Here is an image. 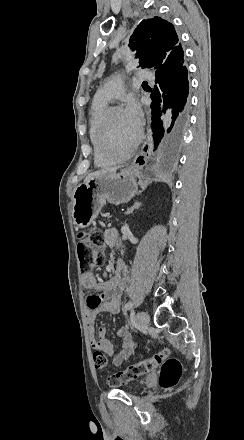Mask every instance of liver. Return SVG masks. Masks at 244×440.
<instances>
[{
	"mask_svg": "<svg viewBox=\"0 0 244 440\" xmlns=\"http://www.w3.org/2000/svg\"><path fill=\"white\" fill-rule=\"evenodd\" d=\"M119 168H103V170H98V172H92V174H88L84 180V184H87L90 178H100V176H104V174H115Z\"/></svg>",
	"mask_w": 244,
	"mask_h": 440,
	"instance_id": "obj_1",
	"label": "liver"
}]
</instances>
